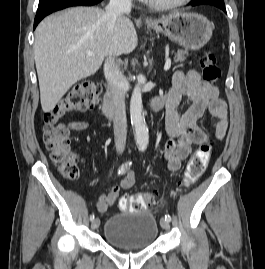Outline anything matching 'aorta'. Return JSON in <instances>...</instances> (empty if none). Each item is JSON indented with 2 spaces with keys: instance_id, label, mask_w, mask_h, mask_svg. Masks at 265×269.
<instances>
[{
  "instance_id": "762f6f07",
  "label": "aorta",
  "mask_w": 265,
  "mask_h": 269,
  "mask_svg": "<svg viewBox=\"0 0 265 269\" xmlns=\"http://www.w3.org/2000/svg\"><path fill=\"white\" fill-rule=\"evenodd\" d=\"M144 79L143 75L137 77V85L133 90L130 100L131 124L135 130L136 144L141 152L146 150L149 141L148 128L143 115L142 93L140 89V84Z\"/></svg>"
}]
</instances>
